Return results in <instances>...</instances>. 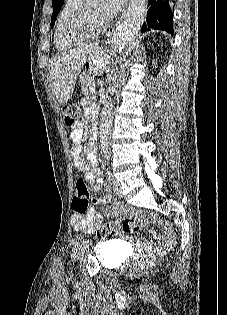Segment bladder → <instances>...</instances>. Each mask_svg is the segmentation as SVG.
<instances>
[{"instance_id":"31cf9c89","label":"bladder","mask_w":227,"mask_h":315,"mask_svg":"<svg viewBox=\"0 0 227 315\" xmlns=\"http://www.w3.org/2000/svg\"><path fill=\"white\" fill-rule=\"evenodd\" d=\"M94 254L99 264L104 268L118 267L125 258L124 249L114 242L96 244Z\"/></svg>"}]
</instances>
